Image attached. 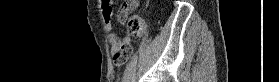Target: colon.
<instances>
[{
    "instance_id": "1",
    "label": "colon",
    "mask_w": 279,
    "mask_h": 82,
    "mask_svg": "<svg viewBox=\"0 0 279 82\" xmlns=\"http://www.w3.org/2000/svg\"><path fill=\"white\" fill-rule=\"evenodd\" d=\"M137 1H125L119 8L117 19L125 26L129 33L128 45L123 49L125 59L132 54L131 42L135 41L142 33V24L138 16L132 14V7Z\"/></svg>"
}]
</instances>
